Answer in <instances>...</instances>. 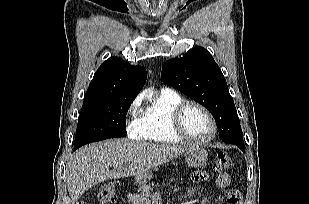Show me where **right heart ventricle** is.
<instances>
[{"label":"right heart ventricle","mask_w":309,"mask_h":204,"mask_svg":"<svg viewBox=\"0 0 309 204\" xmlns=\"http://www.w3.org/2000/svg\"><path fill=\"white\" fill-rule=\"evenodd\" d=\"M183 101L184 98L172 90L154 95L138 118L139 138L155 143H180L182 139L172 130L170 120L173 110Z\"/></svg>","instance_id":"right-heart-ventricle-1"}]
</instances>
